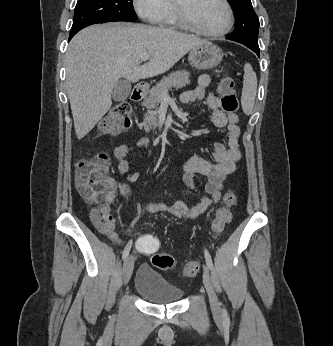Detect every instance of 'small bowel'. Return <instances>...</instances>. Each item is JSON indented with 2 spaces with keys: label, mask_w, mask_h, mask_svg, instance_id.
Returning a JSON list of instances; mask_svg holds the SVG:
<instances>
[{
  "label": "small bowel",
  "mask_w": 333,
  "mask_h": 346,
  "mask_svg": "<svg viewBox=\"0 0 333 346\" xmlns=\"http://www.w3.org/2000/svg\"><path fill=\"white\" fill-rule=\"evenodd\" d=\"M210 84V77L206 74L198 78L195 88L184 92L181 95V102L191 104L207 98V104L212 112V120L217 128L227 131V145L215 143L213 145L214 163H210L200 156L188 155L184 162L183 181L188 189L195 191L199 196V201L192 207H187L182 202L173 204L148 203L146 210L151 213L167 212L184 218H196L200 216L207 208L215 205L221 199V190L226 178L235 170V164L241 157L240 149V129L238 126V115L236 113H226L220 108V100L212 93L207 94ZM147 138H139L133 145L121 144L114 150L117 169L120 174L126 175L129 171L128 155L136 147L149 145ZM202 175L207 178L203 190H200L196 184V176ZM130 179H133L131 177ZM111 189L106 200L90 210V220L95 228L106 236L114 244H122L113 220L112 209L116 195L120 192L124 194V200L127 201L131 195L128 187L111 182ZM137 249V247H136ZM122 254L127 252L125 247L120 249Z\"/></svg>",
  "instance_id": "c3829d8e"
}]
</instances>
